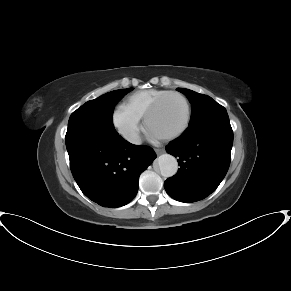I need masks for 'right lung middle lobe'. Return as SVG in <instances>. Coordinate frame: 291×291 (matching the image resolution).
Masks as SVG:
<instances>
[{"label":"right lung middle lobe","instance_id":"obj_1","mask_svg":"<svg viewBox=\"0 0 291 291\" xmlns=\"http://www.w3.org/2000/svg\"><path fill=\"white\" fill-rule=\"evenodd\" d=\"M131 90L132 88L111 91L86 102L71 114L68 126L89 124L114 128L112 120L114 107Z\"/></svg>","mask_w":291,"mask_h":291}]
</instances>
